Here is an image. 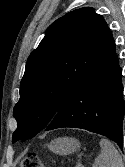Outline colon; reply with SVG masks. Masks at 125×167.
Instances as JSON below:
<instances>
[{
  "label": "colon",
  "mask_w": 125,
  "mask_h": 167,
  "mask_svg": "<svg viewBox=\"0 0 125 167\" xmlns=\"http://www.w3.org/2000/svg\"><path fill=\"white\" fill-rule=\"evenodd\" d=\"M21 167H44L41 159L34 153H28L21 161ZM75 167H83L81 162H78Z\"/></svg>",
  "instance_id": "obj_1"
}]
</instances>
